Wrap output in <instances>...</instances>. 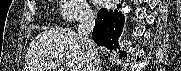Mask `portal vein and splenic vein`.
<instances>
[{
  "label": "portal vein and splenic vein",
  "instance_id": "obj_1",
  "mask_svg": "<svg viewBox=\"0 0 181 71\" xmlns=\"http://www.w3.org/2000/svg\"><path fill=\"white\" fill-rule=\"evenodd\" d=\"M53 57L59 59L60 61H64L63 55L59 54V53H52L51 54Z\"/></svg>",
  "mask_w": 181,
  "mask_h": 71
}]
</instances>
